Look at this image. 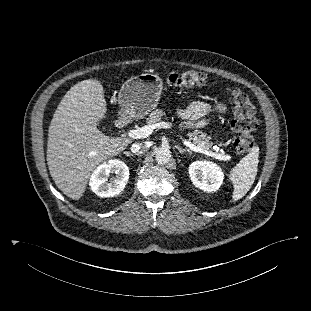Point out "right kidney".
I'll return each instance as SVG.
<instances>
[{
    "instance_id": "ca27d5eb",
    "label": "right kidney",
    "mask_w": 311,
    "mask_h": 311,
    "mask_svg": "<svg viewBox=\"0 0 311 311\" xmlns=\"http://www.w3.org/2000/svg\"><path fill=\"white\" fill-rule=\"evenodd\" d=\"M111 173L115 177L108 182ZM129 179L128 166L118 160L111 159L100 164L91 175L89 185L91 190L99 197H112L123 191Z\"/></svg>"
}]
</instances>
